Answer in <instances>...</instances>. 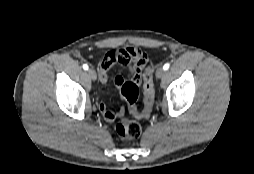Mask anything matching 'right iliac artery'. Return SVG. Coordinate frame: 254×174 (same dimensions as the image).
Masks as SVG:
<instances>
[{"label":"right iliac artery","instance_id":"1","mask_svg":"<svg viewBox=\"0 0 254 174\" xmlns=\"http://www.w3.org/2000/svg\"><path fill=\"white\" fill-rule=\"evenodd\" d=\"M83 69H84V70H88V65H87V64H84V65H83Z\"/></svg>","mask_w":254,"mask_h":174}]
</instances>
